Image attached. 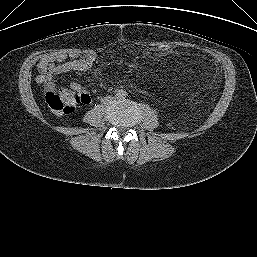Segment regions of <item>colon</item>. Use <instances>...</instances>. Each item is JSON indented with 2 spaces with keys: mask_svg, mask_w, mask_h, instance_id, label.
<instances>
[{
  "mask_svg": "<svg viewBox=\"0 0 257 257\" xmlns=\"http://www.w3.org/2000/svg\"><path fill=\"white\" fill-rule=\"evenodd\" d=\"M160 54H168L171 51L169 45L157 46ZM48 107L57 114H72L80 103H86V97L80 93H74L67 89H48L46 96Z\"/></svg>",
  "mask_w": 257,
  "mask_h": 257,
  "instance_id": "colon-1",
  "label": "colon"
}]
</instances>
